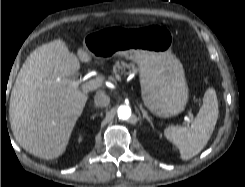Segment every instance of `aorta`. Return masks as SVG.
Segmentation results:
<instances>
[{
	"instance_id": "1",
	"label": "aorta",
	"mask_w": 245,
	"mask_h": 187,
	"mask_svg": "<svg viewBox=\"0 0 245 187\" xmlns=\"http://www.w3.org/2000/svg\"><path fill=\"white\" fill-rule=\"evenodd\" d=\"M119 119L126 120L131 116V109L128 106L122 105L118 108Z\"/></svg>"
}]
</instances>
